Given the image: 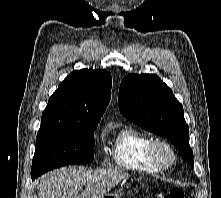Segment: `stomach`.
Returning a JSON list of instances; mask_svg holds the SVG:
<instances>
[{"instance_id":"0dacf381","label":"stomach","mask_w":221,"mask_h":198,"mask_svg":"<svg viewBox=\"0 0 221 198\" xmlns=\"http://www.w3.org/2000/svg\"><path fill=\"white\" fill-rule=\"evenodd\" d=\"M125 187L130 188V184L126 183L122 188H120L118 191L111 193V194H105L102 198H121L122 195H124V189Z\"/></svg>"}]
</instances>
